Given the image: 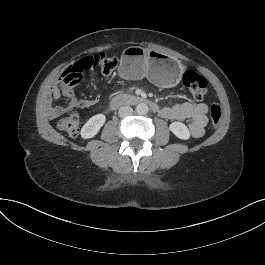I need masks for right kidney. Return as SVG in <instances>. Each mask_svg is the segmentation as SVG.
Masks as SVG:
<instances>
[{
    "instance_id": "right-kidney-1",
    "label": "right kidney",
    "mask_w": 265,
    "mask_h": 265,
    "mask_svg": "<svg viewBox=\"0 0 265 265\" xmlns=\"http://www.w3.org/2000/svg\"><path fill=\"white\" fill-rule=\"evenodd\" d=\"M106 117L104 114H97L91 117L81 129V137L84 139L94 137L104 125Z\"/></svg>"
}]
</instances>
